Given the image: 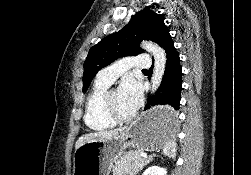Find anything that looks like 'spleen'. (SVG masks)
Instances as JSON below:
<instances>
[{"mask_svg": "<svg viewBox=\"0 0 251 175\" xmlns=\"http://www.w3.org/2000/svg\"><path fill=\"white\" fill-rule=\"evenodd\" d=\"M173 141H174L173 137L165 141V145L163 147L164 155H169V157H175L176 149H175V143H173Z\"/></svg>", "mask_w": 251, "mask_h": 175, "instance_id": "3e777b00", "label": "spleen"}]
</instances>
